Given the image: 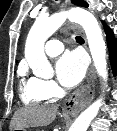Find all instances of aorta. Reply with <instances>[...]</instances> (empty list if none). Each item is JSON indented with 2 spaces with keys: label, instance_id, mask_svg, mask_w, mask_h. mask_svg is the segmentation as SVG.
<instances>
[{
  "label": "aorta",
  "instance_id": "762f6f07",
  "mask_svg": "<svg viewBox=\"0 0 117 131\" xmlns=\"http://www.w3.org/2000/svg\"><path fill=\"white\" fill-rule=\"evenodd\" d=\"M66 19L83 27L97 74L107 81L106 45L102 30L95 16L82 8H72L50 17L39 16L35 20L25 44V58L33 73L41 78H49L53 75V69L44 52V44ZM102 105L103 97H100L78 116L70 131H87Z\"/></svg>",
  "mask_w": 117,
  "mask_h": 131
}]
</instances>
